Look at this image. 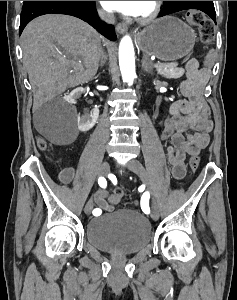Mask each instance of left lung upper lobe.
<instances>
[{"label": "left lung upper lobe", "instance_id": "5c2ea615", "mask_svg": "<svg viewBox=\"0 0 237 300\" xmlns=\"http://www.w3.org/2000/svg\"><path fill=\"white\" fill-rule=\"evenodd\" d=\"M176 2H181V1H164V10Z\"/></svg>", "mask_w": 237, "mask_h": 300}]
</instances>
